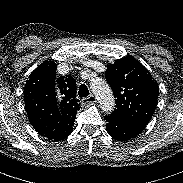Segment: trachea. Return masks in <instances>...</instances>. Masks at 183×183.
Segmentation results:
<instances>
[{
  "instance_id": "1",
  "label": "trachea",
  "mask_w": 183,
  "mask_h": 183,
  "mask_svg": "<svg viewBox=\"0 0 183 183\" xmlns=\"http://www.w3.org/2000/svg\"><path fill=\"white\" fill-rule=\"evenodd\" d=\"M79 97H87L89 95V90L85 84H81L78 91Z\"/></svg>"
}]
</instances>
